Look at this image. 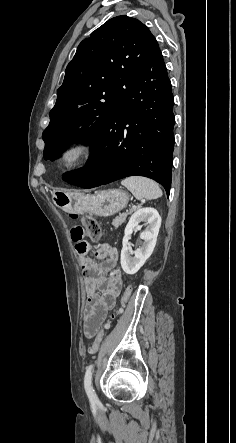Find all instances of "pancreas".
<instances>
[{
    "mask_svg": "<svg viewBox=\"0 0 236 443\" xmlns=\"http://www.w3.org/2000/svg\"><path fill=\"white\" fill-rule=\"evenodd\" d=\"M135 210L136 208H132L129 210V212L120 214L112 221V225L116 228L119 227L121 224H123L126 221L127 215L131 214Z\"/></svg>",
    "mask_w": 236,
    "mask_h": 443,
    "instance_id": "1",
    "label": "pancreas"
}]
</instances>
